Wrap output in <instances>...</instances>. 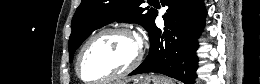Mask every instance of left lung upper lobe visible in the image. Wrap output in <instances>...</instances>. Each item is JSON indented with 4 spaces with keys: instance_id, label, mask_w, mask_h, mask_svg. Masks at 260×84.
<instances>
[{
    "instance_id": "left-lung-upper-lobe-1",
    "label": "left lung upper lobe",
    "mask_w": 260,
    "mask_h": 84,
    "mask_svg": "<svg viewBox=\"0 0 260 84\" xmlns=\"http://www.w3.org/2000/svg\"><path fill=\"white\" fill-rule=\"evenodd\" d=\"M142 3V0H82L72 19L70 62L76 49L94 30L111 22L138 23L149 31L156 10L142 8Z\"/></svg>"
}]
</instances>
